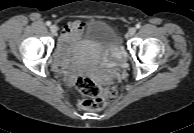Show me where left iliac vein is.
Masks as SVG:
<instances>
[{"mask_svg": "<svg viewBox=\"0 0 194 133\" xmlns=\"http://www.w3.org/2000/svg\"><path fill=\"white\" fill-rule=\"evenodd\" d=\"M136 33V28L132 27L129 29V35L133 36Z\"/></svg>", "mask_w": 194, "mask_h": 133, "instance_id": "1", "label": "left iliac vein"}]
</instances>
